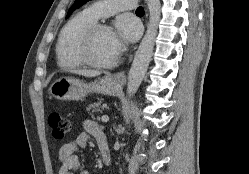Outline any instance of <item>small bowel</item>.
<instances>
[{"label":"small bowel","instance_id":"obj_1","mask_svg":"<svg viewBox=\"0 0 249 174\" xmlns=\"http://www.w3.org/2000/svg\"><path fill=\"white\" fill-rule=\"evenodd\" d=\"M89 139H92L98 147L100 143L107 144L106 136L97 123L92 120H85L81 133L60 147L58 158L61 167L58 174H74V172H77V174H89L86 169L81 167L80 158L77 154V150L85 147Z\"/></svg>","mask_w":249,"mask_h":174}]
</instances>
